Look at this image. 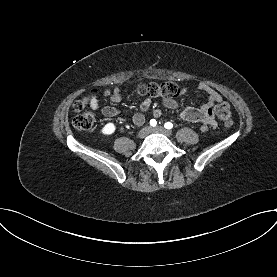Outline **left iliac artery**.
I'll use <instances>...</instances> for the list:
<instances>
[{
  "label": "left iliac artery",
  "instance_id": "44dca946",
  "mask_svg": "<svg viewBox=\"0 0 277 277\" xmlns=\"http://www.w3.org/2000/svg\"><path fill=\"white\" fill-rule=\"evenodd\" d=\"M164 126L166 129H171L173 127V124L171 122H167Z\"/></svg>",
  "mask_w": 277,
  "mask_h": 277
}]
</instances>
